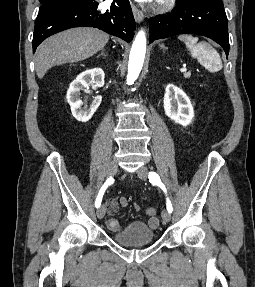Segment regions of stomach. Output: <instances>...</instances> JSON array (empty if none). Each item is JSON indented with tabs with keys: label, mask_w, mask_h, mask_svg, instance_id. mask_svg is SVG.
I'll use <instances>...</instances> for the list:
<instances>
[{
	"label": "stomach",
	"mask_w": 255,
	"mask_h": 287,
	"mask_svg": "<svg viewBox=\"0 0 255 287\" xmlns=\"http://www.w3.org/2000/svg\"><path fill=\"white\" fill-rule=\"evenodd\" d=\"M161 48H163V50H166V48H164V46H161Z\"/></svg>",
	"instance_id": "1"
}]
</instances>
